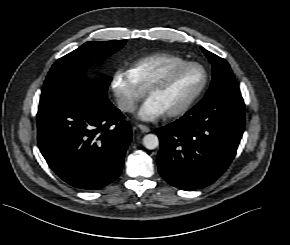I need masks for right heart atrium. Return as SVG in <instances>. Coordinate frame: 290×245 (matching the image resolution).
<instances>
[{
	"mask_svg": "<svg viewBox=\"0 0 290 245\" xmlns=\"http://www.w3.org/2000/svg\"><path fill=\"white\" fill-rule=\"evenodd\" d=\"M111 89L118 108L123 112H131L144 94V89L139 86L132 72L119 68L111 79Z\"/></svg>",
	"mask_w": 290,
	"mask_h": 245,
	"instance_id": "1",
	"label": "right heart atrium"
}]
</instances>
